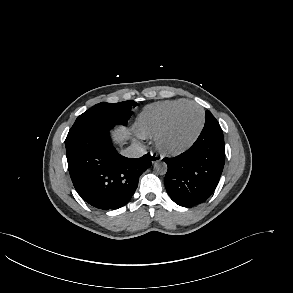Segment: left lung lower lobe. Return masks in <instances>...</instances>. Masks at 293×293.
<instances>
[{"label":"left lung lower lobe","mask_w":293,"mask_h":293,"mask_svg":"<svg viewBox=\"0 0 293 293\" xmlns=\"http://www.w3.org/2000/svg\"><path fill=\"white\" fill-rule=\"evenodd\" d=\"M163 160L168 165L165 187L171 199L183 207L204 202L214 192L225 162L224 137L219 123H206L189 150Z\"/></svg>","instance_id":"0a47b994"}]
</instances>
